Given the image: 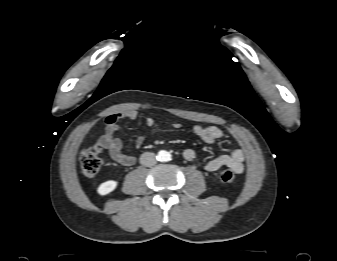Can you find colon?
<instances>
[{
	"label": "colon",
	"mask_w": 337,
	"mask_h": 261,
	"mask_svg": "<svg viewBox=\"0 0 337 261\" xmlns=\"http://www.w3.org/2000/svg\"><path fill=\"white\" fill-rule=\"evenodd\" d=\"M103 147L100 144H94L84 148L79 155L80 167L82 173L87 177L95 176L101 169ZM219 178L224 183H232L235 175L231 169H224L220 172Z\"/></svg>",
	"instance_id": "colon-1"
}]
</instances>
